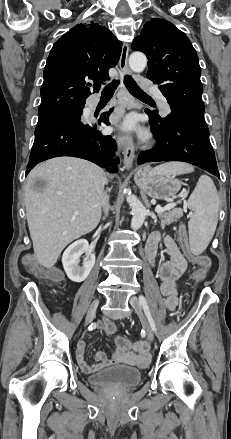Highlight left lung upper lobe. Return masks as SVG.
<instances>
[{"label":"left lung upper lobe","mask_w":231,"mask_h":439,"mask_svg":"<svg viewBox=\"0 0 231 439\" xmlns=\"http://www.w3.org/2000/svg\"><path fill=\"white\" fill-rule=\"evenodd\" d=\"M131 47L146 54L147 78L159 85L171 112L207 126L201 98V69L188 37L171 22L154 18L144 25ZM153 114L162 119L156 112Z\"/></svg>","instance_id":"1"}]
</instances>
